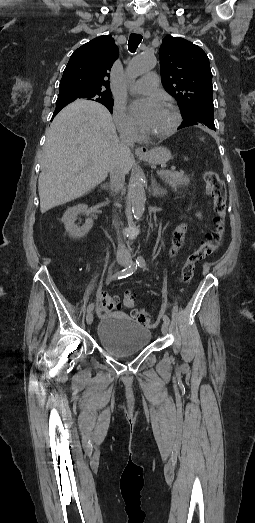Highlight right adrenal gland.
<instances>
[{
  "label": "right adrenal gland",
  "instance_id": "right-adrenal-gland-1",
  "mask_svg": "<svg viewBox=\"0 0 255 523\" xmlns=\"http://www.w3.org/2000/svg\"><path fill=\"white\" fill-rule=\"evenodd\" d=\"M101 188H103V190H111L110 184H102Z\"/></svg>",
  "mask_w": 255,
  "mask_h": 523
}]
</instances>
